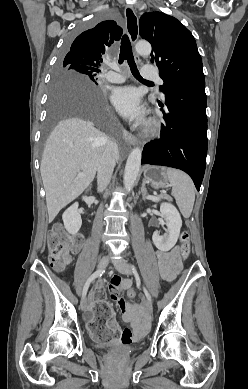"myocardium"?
Here are the masks:
<instances>
[{
    "instance_id": "f54148a6",
    "label": "myocardium",
    "mask_w": 248,
    "mask_h": 389,
    "mask_svg": "<svg viewBox=\"0 0 248 389\" xmlns=\"http://www.w3.org/2000/svg\"><path fill=\"white\" fill-rule=\"evenodd\" d=\"M158 132H159L158 124L155 121H150L145 128V134L154 136L157 135Z\"/></svg>"
}]
</instances>
